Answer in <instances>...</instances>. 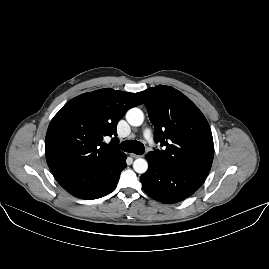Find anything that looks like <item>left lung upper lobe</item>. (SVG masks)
Returning a JSON list of instances; mask_svg holds the SVG:
<instances>
[{
  "instance_id": "1",
  "label": "left lung upper lobe",
  "mask_w": 269,
  "mask_h": 269,
  "mask_svg": "<svg viewBox=\"0 0 269 269\" xmlns=\"http://www.w3.org/2000/svg\"><path fill=\"white\" fill-rule=\"evenodd\" d=\"M155 127V141L164 150L146 158L167 167L207 177L214 156L210 126L196 105L169 86H156L137 93Z\"/></svg>"
}]
</instances>
